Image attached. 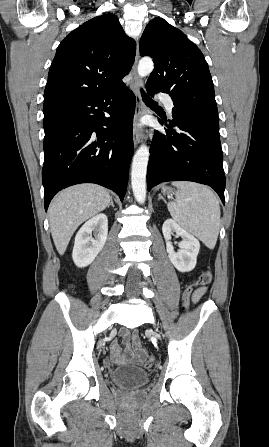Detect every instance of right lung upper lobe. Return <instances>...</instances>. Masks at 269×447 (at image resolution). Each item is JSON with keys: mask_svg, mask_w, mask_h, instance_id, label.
Here are the masks:
<instances>
[{"mask_svg": "<svg viewBox=\"0 0 269 447\" xmlns=\"http://www.w3.org/2000/svg\"><path fill=\"white\" fill-rule=\"evenodd\" d=\"M135 53V42L114 14L85 22L58 46L44 101L89 95L120 84L134 63Z\"/></svg>", "mask_w": 269, "mask_h": 447, "instance_id": "right-lung-upper-lobe-1", "label": "right lung upper lobe"}]
</instances>
